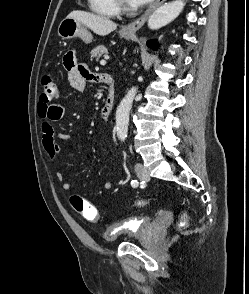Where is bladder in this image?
Instances as JSON below:
<instances>
[{"instance_id":"31cf9c89","label":"bladder","mask_w":249,"mask_h":294,"mask_svg":"<svg viewBox=\"0 0 249 294\" xmlns=\"http://www.w3.org/2000/svg\"><path fill=\"white\" fill-rule=\"evenodd\" d=\"M154 218L150 216H142L131 222L120 232H113L117 225H112L103 233L102 237L106 243H114L121 237L127 239L140 240L150 231L154 224Z\"/></svg>"}]
</instances>
